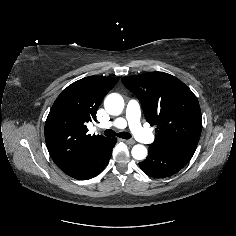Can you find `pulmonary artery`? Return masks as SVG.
Masks as SVG:
<instances>
[{
	"mask_svg": "<svg viewBox=\"0 0 236 236\" xmlns=\"http://www.w3.org/2000/svg\"><path fill=\"white\" fill-rule=\"evenodd\" d=\"M141 109L136 100H130L127 104L125 117L116 118L114 121L103 124V127L125 128L129 126L131 132L142 143H152L155 140L154 134L145 129L140 122Z\"/></svg>",
	"mask_w": 236,
	"mask_h": 236,
	"instance_id": "e3ab8cb5",
	"label": "pulmonary artery"
}]
</instances>
